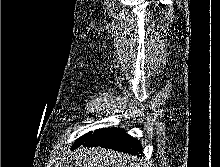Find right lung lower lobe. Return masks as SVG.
Instances as JSON below:
<instances>
[{"instance_id":"right-lung-lower-lobe-1","label":"right lung lower lobe","mask_w":220,"mask_h":167,"mask_svg":"<svg viewBox=\"0 0 220 167\" xmlns=\"http://www.w3.org/2000/svg\"><path fill=\"white\" fill-rule=\"evenodd\" d=\"M84 146L113 149L132 155H142V147L137 139L132 138L123 129H99L83 143Z\"/></svg>"}]
</instances>
